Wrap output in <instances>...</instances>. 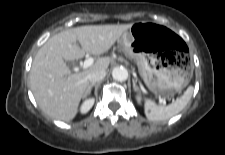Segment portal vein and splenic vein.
Masks as SVG:
<instances>
[{"label": "portal vein and splenic vein", "instance_id": "1", "mask_svg": "<svg viewBox=\"0 0 225 155\" xmlns=\"http://www.w3.org/2000/svg\"><path fill=\"white\" fill-rule=\"evenodd\" d=\"M94 60L93 58H87L84 62H83V65H82V68L83 69H86L88 67H90L92 64H93ZM159 103L162 104L163 106H166V100L163 99V98H159Z\"/></svg>", "mask_w": 225, "mask_h": 155}]
</instances>
